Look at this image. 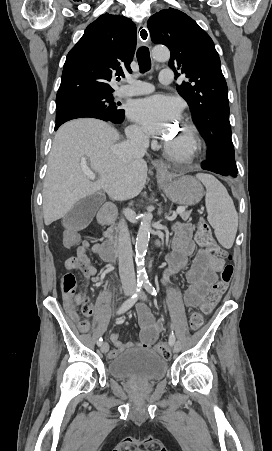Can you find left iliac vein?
Instances as JSON below:
<instances>
[{"mask_svg":"<svg viewBox=\"0 0 272 451\" xmlns=\"http://www.w3.org/2000/svg\"><path fill=\"white\" fill-rule=\"evenodd\" d=\"M141 299H143V300H145V299H146V296H145V294H144V293H142V295H141ZM174 350H175V351H179V350H180V344H179V343H176V344H175V346H174Z\"/></svg>","mask_w":272,"mask_h":451,"instance_id":"4c4485c4","label":"left iliac vein"}]
</instances>
